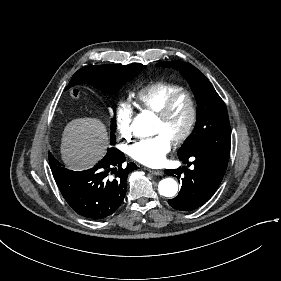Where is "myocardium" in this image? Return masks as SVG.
<instances>
[{
	"label": "myocardium",
	"mask_w": 281,
	"mask_h": 281,
	"mask_svg": "<svg viewBox=\"0 0 281 281\" xmlns=\"http://www.w3.org/2000/svg\"><path fill=\"white\" fill-rule=\"evenodd\" d=\"M181 99H185L188 103L189 118L184 130L179 135L173 136L170 139V141L174 144H180L186 141L192 134L193 129L195 127L197 121V106L193 96L185 91L174 94L171 97H169L158 110L152 113L153 116L158 120H164L168 117L175 103Z\"/></svg>",
	"instance_id": "obj_1"
}]
</instances>
